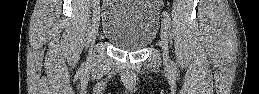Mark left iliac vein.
Returning a JSON list of instances; mask_svg holds the SVG:
<instances>
[{"instance_id": "obj_1", "label": "left iliac vein", "mask_w": 259, "mask_h": 94, "mask_svg": "<svg viewBox=\"0 0 259 94\" xmlns=\"http://www.w3.org/2000/svg\"><path fill=\"white\" fill-rule=\"evenodd\" d=\"M161 47L163 51L164 63L168 65L170 63L169 47H168V21L165 19L162 20Z\"/></svg>"}]
</instances>
